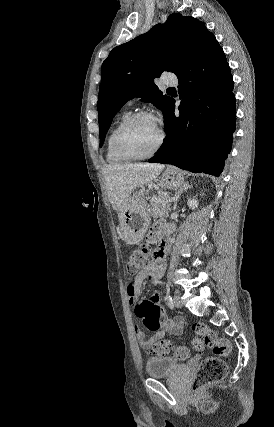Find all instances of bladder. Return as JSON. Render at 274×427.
<instances>
[{
    "label": "bladder",
    "mask_w": 274,
    "mask_h": 427,
    "mask_svg": "<svg viewBox=\"0 0 274 427\" xmlns=\"http://www.w3.org/2000/svg\"><path fill=\"white\" fill-rule=\"evenodd\" d=\"M180 364L172 357H148L145 372L149 378H158L176 375Z\"/></svg>",
    "instance_id": "obj_1"
}]
</instances>
